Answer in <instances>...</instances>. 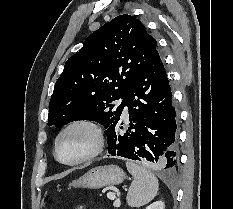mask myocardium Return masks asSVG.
<instances>
[{"mask_svg": "<svg viewBox=\"0 0 233 209\" xmlns=\"http://www.w3.org/2000/svg\"><path fill=\"white\" fill-rule=\"evenodd\" d=\"M76 127H85L89 129L94 136V145L88 153L81 156L80 158L73 161H64L58 155L59 142L66 132ZM104 146H105V134L100 124L97 123L95 120L89 118H79L66 124L58 133L54 143V156L56 160L61 164L67 166H75L87 162L98 156L102 152Z\"/></svg>", "mask_w": 233, "mask_h": 209, "instance_id": "obj_1", "label": "myocardium"}]
</instances>
